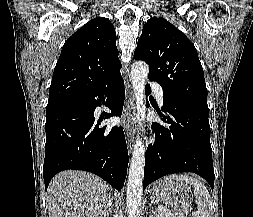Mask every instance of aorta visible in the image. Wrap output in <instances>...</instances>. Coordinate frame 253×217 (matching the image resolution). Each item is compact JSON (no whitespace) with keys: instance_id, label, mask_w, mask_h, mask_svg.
Segmentation results:
<instances>
[{"instance_id":"aorta-1","label":"aorta","mask_w":253,"mask_h":217,"mask_svg":"<svg viewBox=\"0 0 253 217\" xmlns=\"http://www.w3.org/2000/svg\"><path fill=\"white\" fill-rule=\"evenodd\" d=\"M148 73V64L142 61H138L132 65L131 82L135 93L137 118L139 121L145 120V81ZM138 137L139 136H137V140L134 144V150L132 153L128 174L126 195L128 217H136V215L139 213V207L142 199L145 166V145L144 142Z\"/></svg>"}]
</instances>
